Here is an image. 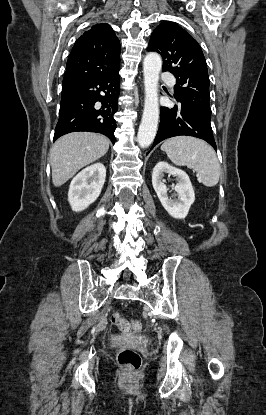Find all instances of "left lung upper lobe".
<instances>
[{
    "label": "left lung upper lobe",
    "instance_id": "obj_1",
    "mask_svg": "<svg viewBox=\"0 0 266 415\" xmlns=\"http://www.w3.org/2000/svg\"><path fill=\"white\" fill-rule=\"evenodd\" d=\"M147 49L160 53L162 70L176 77L174 97L177 102L210 124L207 64L197 41L177 24L163 22L151 34Z\"/></svg>",
    "mask_w": 266,
    "mask_h": 415
}]
</instances>
